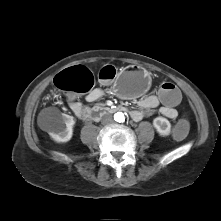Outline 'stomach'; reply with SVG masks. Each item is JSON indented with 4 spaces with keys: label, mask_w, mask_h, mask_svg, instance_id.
<instances>
[{
    "label": "stomach",
    "mask_w": 221,
    "mask_h": 221,
    "mask_svg": "<svg viewBox=\"0 0 221 221\" xmlns=\"http://www.w3.org/2000/svg\"><path fill=\"white\" fill-rule=\"evenodd\" d=\"M150 74L143 69L129 67L117 76L113 89L123 98H135L144 94L150 86Z\"/></svg>",
    "instance_id": "1"
}]
</instances>
